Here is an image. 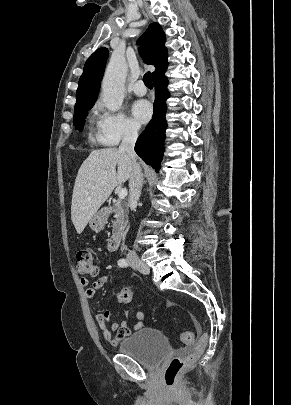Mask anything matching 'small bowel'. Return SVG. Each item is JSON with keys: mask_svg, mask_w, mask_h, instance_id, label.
<instances>
[{"mask_svg": "<svg viewBox=\"0 0 291 405\" xmlns=\"http://www.w3.org/2000/svg\"><path fill=\"white\" fill-rule=\"evenodd\" d=\"M108 280L106 275H102L95 281L91 282L89 279L83 277L80 279L81 285L85 288V296L88 299L95 297L97 290L102 288ZM112 312L110 310H105L103 312L96 313L94 316V321L102 332L103 337L113 346L117 345L121 340L126 338L130 333L131 329L126 320L120 323L111 320ZM128 316V312H126ZM137 322L133 326V330H138L143 327V321L145 315L143 312L139 311L136 313ZM110 326V329L109 327ZM198 326V325H197ZM114 333V335L112 334Z\"/></svg>", "mask_w": 291, "mask_h": 405, "instance_id": "1", "label": "small bowel"}]
</instances>
